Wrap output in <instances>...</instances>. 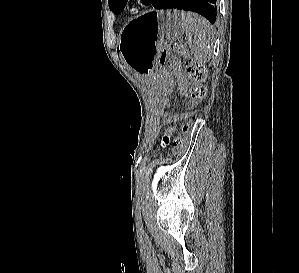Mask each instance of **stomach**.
I'll return each instance as SVG.
<instances>
[{"label":"stomach","mask_w":299,"mask_h":273,"mask_svg":"<svg viewBox=\"0 0 299 273\" xmlns=\"http://www.w3.org/2000/svg\"><path fill=\"white\" fill-rule=\"evenodd\" d=\"M185 32L177 10L150 11L126 24L120 33L118 52L123 62L152 77L155 91L162 92L169 85L168 69H160L159 52L162 42L180 39Z\"/></svg>","instance_id":"0dacf381"}]
</instances>
